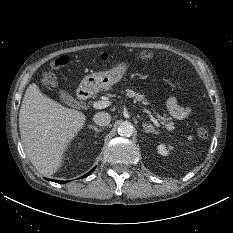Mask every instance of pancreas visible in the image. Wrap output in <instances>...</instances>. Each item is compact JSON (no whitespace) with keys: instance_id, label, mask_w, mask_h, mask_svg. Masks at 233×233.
I'll return each instance as SVG.
<instances>
[{"instance_id":"1","label":"pancreas","mask_w":233,"mask_h":233,"mask_svg":"<svg viewBox=\"0 0 233 233\" xmlns=\"http://www.w3.org/2000/svg\"><path fill=\"white\" fill-rule=\"evenodd\" d=\"M126 94L128 97H135L137 101L142 102L144 105L148 104L143 95L136 93L133 90L127 89ZM157 117L162 120V124H165L168 130H172L174 128V123L171 117H161L159 114H157Z\"/></svg>"}]
</instances>
